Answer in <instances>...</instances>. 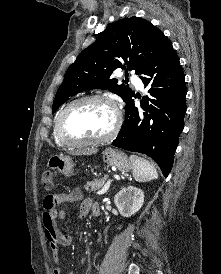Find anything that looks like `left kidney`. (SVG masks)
Instances as JSON below:
<instances>
[{
  "label": "left kidney",
  "mask_w": 221,
  "mask_h": 274,
  "mask_svg": "<svg viewBox=\"0 0 221 274\" xmlns=\"http://www.w3.org/2000/svg\"><path fill=\"white\" fill-rule=\"evenodd\" d=\"M114 203L122 216L131 217L141 209L144 192L133 186L124 187L115 195Z\"/></svg>",
  "instance_id": "obj_1"
}]
</instances>
